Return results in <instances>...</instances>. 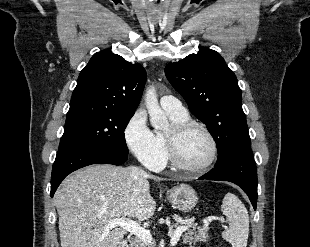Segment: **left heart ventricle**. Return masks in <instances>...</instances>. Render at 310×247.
I'll return each mask as SVG.
<instances>
[{
  "mask_svg": "<svg viewBox=\"0 0 310 247\" xmlns=\"http://www.w3.org/2000/svg\"><path fill=\"white\" fill-rule=\"evenodd\" d=\"M179 153L183 163L190 167H199L211 156V144L207 136L198 129L191 130L181 137Z\"/></svg>",
  "mask_w": 310,
  "mask_h": 247,
  "instance_id": "left-heart-ventricle-1",
  "label": "left heart ventricle"
}]
</instances>
